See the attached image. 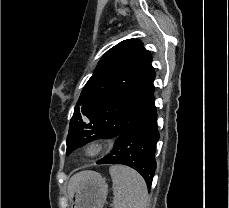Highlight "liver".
Returning a JSON list of instances; mask_svg holds the SVG:
<instances>
[{
	"instance_id": "liver-1",
	"label": "liver",
	"mask_w": 229,
	"mask_h": 208,
	"mask_svg": "<svg viewBox=\"0 0 229 208\" xmlns=\"http://www.w3.org/2000/svg\"><path fill=\"white\" fill-rule=\"evenodd\" d=\"M96 176H100L97 172H91V170H85V172H78V174H74L72 178H70L67 186L68 194H72L73 190H75L78 184H82V182H87V180H93Z\"/></svg>"
}]
</instances>
